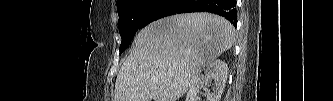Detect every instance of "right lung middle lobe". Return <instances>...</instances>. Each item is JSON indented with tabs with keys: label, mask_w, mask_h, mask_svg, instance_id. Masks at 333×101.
<instances>
[{
	"label": "right lung middle lobe",
	"mask_w": 333,
	"mask_h": 101,
	"mask_svg": "<svg viewBox=\"0 0 333 101\" xmlns=\"http://www.w3.org/2000/svg\"><path fill=\"white\" fill-rule=\"evenodd\" d=\"M157 2L159 0H119L117 2L119 32L122 38L120 54L128 47L136 32L143 27L145 17Z\"/></svg>",
	"instance_id": "obj_1"
}]
</instances>
